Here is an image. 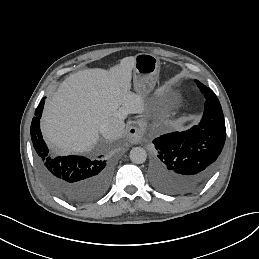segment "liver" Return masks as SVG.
Instances as JSON below:
<instances>
[{
  "label": "liver",
  "mask_w": 259,
  "mask_h": 259,
  "mask_svg": "<svg viewBox=\"0 0 259 259\" xmlns=\"http://www.w3.org/2000/svg\"><path fill=\"white\" fill-rule=\"evenodd\" d=\"M135 57L124 58L110 70L86 69L69 75L47 100L41 118L46 143L62 154L90 151L99 140V126L124 106L132 95Z\"/></svg>",
  "instance_id": "liver-1"
}]
</instances>
